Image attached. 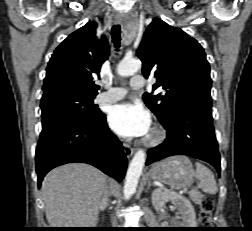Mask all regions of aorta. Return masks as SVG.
<instances>
[{
	"instance_id": "aorta-1",
	"label": "aorta",
	"mask_w": 252,
	"mask_h": 231,
	"mask_svg": "<svg viewBox=\"0 0 252 231\" xmlns=\"http://www.w3.org/2000/svg\"><path fill=\"white\" fill-rule=\"evenodd\" d=\"M141 69V62L137 59H124L117 66V73L122 77L131 76ZM146 160L144 150H138L133 156L127 170L124 184V198L127 200L136 191L139 178Z\"/></svg>"
}]
</instances>
